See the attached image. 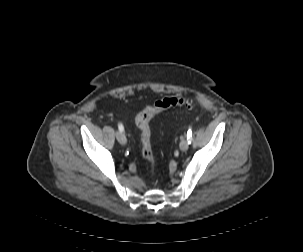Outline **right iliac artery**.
<instances>
[{"label":"right iliac artery","instance_id":"obj_1","mask_svg":"<svg viewBox=\"0 0 303 252\" xmlns=\"http://www.w3.org/2000/svg\"><path fill=\"white\" fill-rule=\"evenodd\" d=\"M118 129H119V131H120V132H123L124 127H123V125H122L121 123H119V125H118Z\"/></svg>","mask_w":303,"mask_h":252}]
</instances>
